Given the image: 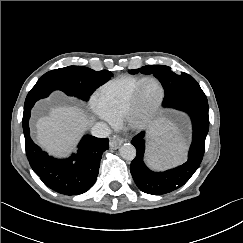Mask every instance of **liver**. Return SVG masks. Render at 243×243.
Masks as SVG:
<instances>
[{
    "label": "liver",
    "mask_w": 243,
    "mask_h": 243,
    "mask_svg": "<svg viewBox=\"0 0 243 243\" xmlns=\"http://www.w3.org/2000/svg\"><path fill=\"white\" fill-rule=\"evenodd\" d=\"M93 121L79 106L51 107L49 114L36 122V141L52 155L66 156Z\"/></svg>",
    "instance_id": "obj_1"
}]
</instances>
